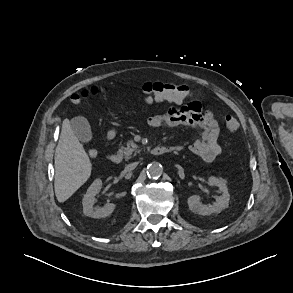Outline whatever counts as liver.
I'll use <instances>...</instances> for the list:
<instances>
[{"instance_id": "obj_1", "label": "liver", "mask_w": 293, "mask_h": 293, "mask_svg": "<svg viewBox=\"0 0 293 293\" xmlns=\"http://www.w3.org/2000/svg\"><path fill=\"white\" fill-rule=\"evenodd\" d=\"M54 160L55 195L59 202H65L89 179L92 170L90 159L68 119L62 123Z\"/></svg>"}]
</instances>
